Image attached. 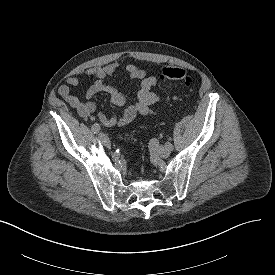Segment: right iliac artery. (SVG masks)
Masks as SVG:
<instances>
[{
	"mask_svg": "<svg viewBox=\"0 0 275 275\" xmlns=\"http://www.w3.org/2000/svg\"><path fill=\"white\" fill-rule=\"evenodd\" d=\"M91 130L94 133H98L100 131V125L98 123L93 124Z\"/></svg>",
	"mask_w": 275,
	"mask_h": 275,
	"instance_id": "obj_1",
	"label": "right iliac artery"
}]
</instances>
